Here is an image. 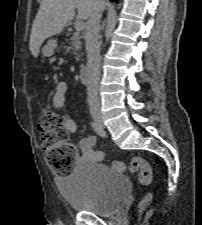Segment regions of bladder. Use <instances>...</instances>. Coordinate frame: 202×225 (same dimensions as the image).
Here are the masks:
<instances>
[{
  "label": "bladder",
  "mask_w": 202,
  "mask_h": 225,
  "mask_svg": "<svg viewBox=\"0 0 202 225\" xmlns=\"http://www.w3.org/2000/svg\"><path fill=\"white\" fill-rule=\"evenodd\" d=\"M59 187L72 210L111 216L124 204L131 184L125 174L112 172L103 163L83 160Z\"/></svg>",
  "instance_id": "31cf9c89"
}]
</instances>
